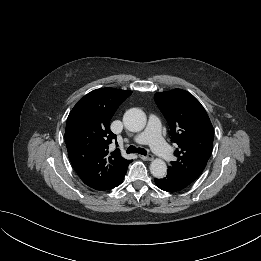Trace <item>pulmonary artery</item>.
<instances>
[{"mask_svg":"<svg viewBox=\"0 0 261 261\" xmlns=\"http://www.w3.org/2000/svg\"><path fill=\"white\" fill-rule=\"evenodd\" d=\"M134 140L140 144L149 143L153 151L161 159L165 161L171 160V150L161 136L160 121L156 116H150L146 129L140 134L136 135Z\"/></svg>","mask_w":261,"mask_h":261,"instance_id":"obj_1","label":"pulmonary artery"}]
</instances>
